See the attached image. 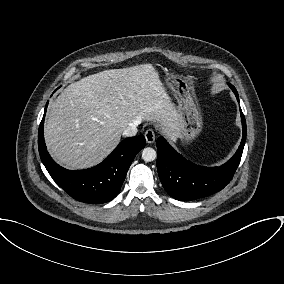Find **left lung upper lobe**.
I'll return each mask as SVG.
<instances>
[{
	"mask_svg": "<svg viewBox=\"0 0 284 284\" xmlns=\"http://www.w3.org/2000/svg\"><path fill=\"white\" fill-rule=\"evenodd\" d=\"M229 86H230V88L232 89V91L234 92V93H237V91H236V89H235V87L233 86V85H231V84H228Z\"/></svg>",
	"mask_w": 284,
	"mask_h": 284,
	"instance_id": "left-lung-upper-lobe-1",
	"label": "left lung upper lobe"
}]
</instances>
